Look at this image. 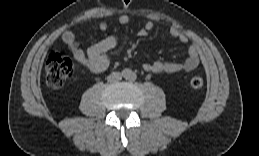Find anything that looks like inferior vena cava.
<instances>
[{
    "mask_svg": "<svg viewBox=\"0 0 259 156\" xmlns=\"http://www.w3.org/2000/svg\"><path fill=\"white\" fill-rule=\"evenodd\" d=\"M122 78V74L120 72H112L108 77L107 80L109 82H115Z\"/></svg>",
    "mask_w": 259,
    "mask_h": 156,
    "instance_id": "602c4592",
    "label": "inferior vena cava"
}]
</instances>
